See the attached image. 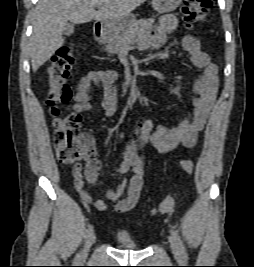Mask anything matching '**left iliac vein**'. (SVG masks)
Instances as JSON below:
<instances>
[{
  "label": "left iliac vein",
  "instance_id": "1",
  "mask_svg": "<svg viewBox=\"0 0 254 267\" xmlns=\"http://www.w3.org/2000/svg\"><path fill=\"white\" fill-rule=\"evenodd\" d=\"M168 240H169V243H170L171 250H172L173 254L175 256H179L180 255V251H179V248H178V245H177V242H176L175 238L173 236H169Z\"/></svg>",
  "mask_w": 254,
  "mask_h": 267
}]
</instances>
